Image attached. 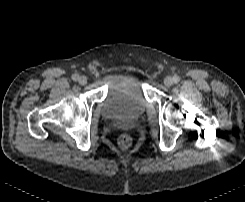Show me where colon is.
<instances>
[{
  "label": "colon",
  "mask_w": 245,
  "mask_h": 202,
  "mask_svg": "<svg viewBox=\"0 0 245 202\" xmlns=\"http://www.w3.org/2000/svg\"><path fill=\"white\" fill-rule=\"evenodd\" d=\"M118 143L122 149H127L132 144V138L129 135L124 134L119 138Z\"/></svg>",
  "instance_id": "1"
}]
</instances>
